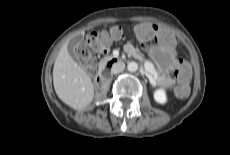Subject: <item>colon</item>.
Masks as SVG:
<instances>
[{"label":"colon","instance_id":"obj_1","mask_svg":"<svg viewBox=\"0 0 230 155\" xmlns=\"http://www.w3.org/2000/svg\"><path fill=\"white\" fill-rule=\"evenodd\" d=\"M122 39V28L120 26H111L87 35L86 38L78 44L76 52L83 61L85 67L91 70L96 64L92 51L105 52L113 41H120ZM175 75L178 80L176 94L179 97H183L188 93L189 66L183 61L177 62Z\"/></svg>","mask_w":230,"mask_h":155}]
</instances>
